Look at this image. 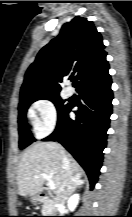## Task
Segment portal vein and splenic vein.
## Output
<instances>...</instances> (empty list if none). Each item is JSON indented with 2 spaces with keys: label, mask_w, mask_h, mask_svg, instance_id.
<instances>
[{
  "label": "portal vein and splenic vein",
  "mask_w": 132,
  "mask_h": 217,
  "mask_svg": "<svg viewBox=\"0 0 132 217\" xmlns=\"http://www.w3.org/2000/svg\"><path fill=\"white\" fill-rule=\"evenodd\" d=\"M34 177L35 178L42 177V178L46 179L48 181V187H49V189L50 190H54L55 189L54 182L51 180V178L47 174L35 175Z\"/></svg>",
  "instance_id": "portal-vein-and-splenic-vein-1"
}]
</instances>
